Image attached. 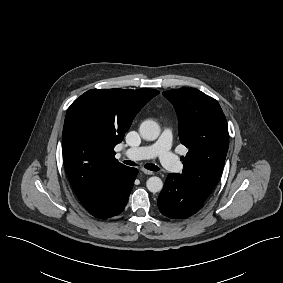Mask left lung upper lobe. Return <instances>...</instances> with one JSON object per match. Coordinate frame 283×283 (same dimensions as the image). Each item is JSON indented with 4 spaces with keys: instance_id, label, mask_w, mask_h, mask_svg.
<instances>
[{
    "instance_id": "1",
    "label": "left lung upper lobe",
    "mask_w": 283,
    "mask_h": 283,
    "mask_svg": "<svg viewBox=\"0 0 283 283\" xmlns=\"http://www.w3.org/2000/svg\"><path fill=\"white\" fill-rule=\"evenodd\" d=\"M178 115L179 138L189 151L179 176L199 197L216 186L229 147L228 125L219 103L194 88L163 92Z\"/></svg>"
}]
</instances>
